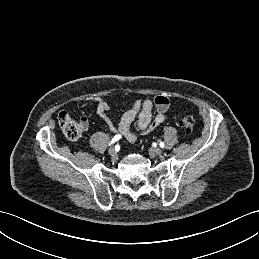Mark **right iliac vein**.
I'll use <instances>...</instances> for the list:
<instances>
[{
	"label": "right iliac vein",
	"instance_id": "1",
	"mask_svg": "<svg viewBox=\"0 0 259 259\" xmlns=\"http://www.w3.org/2000/svg\"><path fill=\"white\" fill-rule=\"evenodd\" d=\"M108 153L112 157L113 160H117L118 155H117L116 150L113 147H111L109 149Z\"/></svg>",
	"mask_w": 259,
	"mask_h": 259
}]
</instances>
